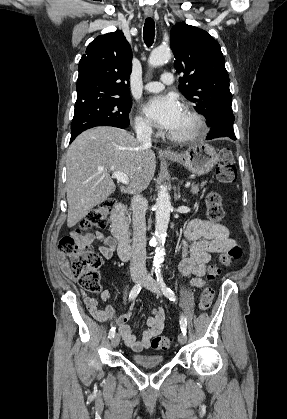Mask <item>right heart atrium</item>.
Instances as JSON below:
<instances>
[{
	"label": "right heart atrium",
	"mask_w": 287,
	"mask_h": 419,
	"mask_svg": "<svg viewBox=\"0 0 287 419\" xmlns=\"http://www.w3.org/2000/svg\"><path fill=\"white\" fill-rule=\"evenodd\" d=\"M135 130L140 135H150L152 133V125L149 120L139 115L135 118Z\"/></svg>",
	"instance_id": "1"
}]
</instances>
